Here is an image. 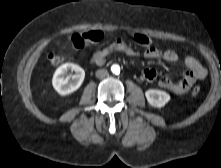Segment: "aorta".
Wrapping results in <instances>:
<instances>
[{
  "instance_id": "aorta-1",
  "label": "aorta",
  "mask_w": 221,
  "mask_h": 168,
  "mask_svg": "<svg viewBox=\"0 0 221 168\" xmlns=\"http://www.w3.org/2000/svg\"><path fill=\"white\" fill-rule=\"evenodd\" d=\"M111 71L113 74H119L120 73V66L118 64H113L111 66Z\"/></svg>"
}]
</instances>
